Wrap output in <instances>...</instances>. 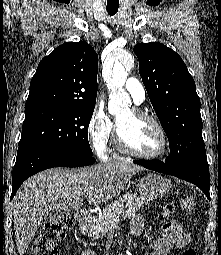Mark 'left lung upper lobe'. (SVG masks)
Instances as JSON below:
<instances>
[{"label": "left lung upper lobe", "instance_id": "1", "mask_svg": "<svg viewBox=\"0 0 221 255\" xmlns=\"http://www.w3.org/2000/svg\"><path fill=\"white\" fill-rule=\"evenodd\" d=\"M134 53L153 108L168 137L172 166L206 158L200 99L182 58L158 43H138Z\"/></svg>", "mask_w": 221, "mask_h": 255}]
</instances>
